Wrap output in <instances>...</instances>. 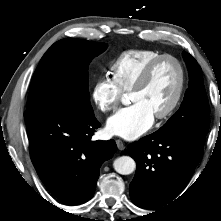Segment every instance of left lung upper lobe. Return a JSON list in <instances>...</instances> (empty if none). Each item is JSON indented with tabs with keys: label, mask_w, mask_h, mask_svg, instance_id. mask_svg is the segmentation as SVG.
<instances>
[{
	"label": "left lung upper lobe",
	"mask_w": 221,
	"mask_h": 221,
	"mask_svg": "<svg viewBox=\"0 0 221 221\" xmlns=\"http://www.w3.org/2000/svg\"><path fill=\"white\" fill-rule=\"evenodd\" d=\"M190 83L179 110L157 131H194L207 134L209 129V104L203 84L202 71L194 58L184 54Z\"/></svg>",
	"instance_id": "1"
}]
</instances>
